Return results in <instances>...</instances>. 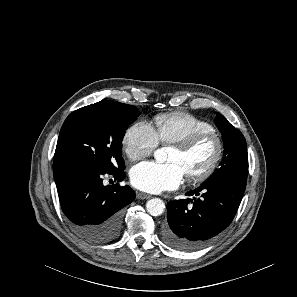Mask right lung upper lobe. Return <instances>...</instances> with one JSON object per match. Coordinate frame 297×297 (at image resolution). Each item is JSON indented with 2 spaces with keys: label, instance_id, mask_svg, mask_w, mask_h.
<instances>
[{
  "label": "right lung upper lobe",
  "instance_id": "1",
  "mask_svg": "<svg viewBox=\"0 0 297 297\" xmlns=\"http://www.w3.org/2000/svg\"><path fill=\"white\" fill-rule=\"evenodd\" d=\"M109 102H111V101H100V102H98V103H95V104H107V103H109Z\"/></svg>",
  "mask_w": 297,
  "mask_h": 297
}]
</instances>
